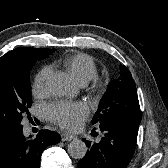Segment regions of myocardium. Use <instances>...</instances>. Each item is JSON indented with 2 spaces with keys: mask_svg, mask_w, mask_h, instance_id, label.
<instances>
[{
  "mask_svg": "<svg viewBox=\"0 0 168 168\" xmlns=\"http://www.w3.org/2000/svg\"><path fill=\"white\" fill-rule=\"evenodd\" d=\"M106 82L100 78H94L92 83V89L95 92H102L105 89Z\"/></svg>",
  "mask_w": 168,
  "mask_h": 168,
  "instance_id": "1",
  "label": "myocardium"
}]
</instances>
